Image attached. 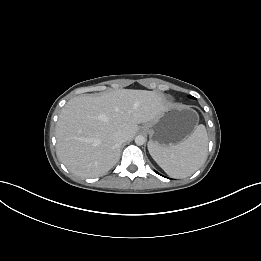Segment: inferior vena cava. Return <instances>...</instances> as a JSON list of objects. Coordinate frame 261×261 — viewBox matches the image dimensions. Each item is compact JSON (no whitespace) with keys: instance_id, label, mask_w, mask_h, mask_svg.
Masks as SVG:
<instances>
[{"instance_id":"1","label":"inferior vena cava","mask_w":261,"mask_h":261,"mask_svg":"<svg viewBox=\"0 0 261 261\" xmlns=\"http://www.w3.org/2000/svg\"><path fill=\"white\" fill-rule=\"evenodd\" d=\"M114 139L122 144L123 142L126 141V134L122 131H117L115 134H114Z\"/></svg>"}]
</instances>
